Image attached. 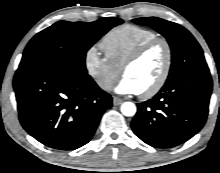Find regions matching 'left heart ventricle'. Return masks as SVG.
Returning <instances> with one entry per match:
<instances>
[{"label":"left heart ventricle","mask_w":220,"mask_h":173,"mask_svg":"<svg viewBox=\"0 0 220 173\" xmlns=\"http://www.w3.org/2000/svg\"><path fill=\"white\" fill-rule=\"evenodd\" d=\"M166 60V51L159 45L149 51L140 61L128 68L125 77L132 79L141 92L151 88L160 77Z\"/></svg>","instance_id":"1"}]
</instances>
